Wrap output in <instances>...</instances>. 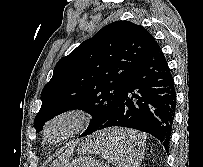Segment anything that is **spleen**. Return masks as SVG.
<instances>
[{
    "label": "spleen",
    "instance_id": "spleen-1",
    "mask_svg": "<svg viewBox=\"0 0 203 167\" xmlns=\"http://www.w3.org/2000/svg\"><path fill=\"white\" fill-rule=\"evenodd\" d=\"M145 139L144 136L137 143L140 157L137 156L135 148H128L125 144L121 148H104L99 146V140H93L90 149L114 163L116 167H138L144 155Z\"/></svg>",
    "mask_w": 203,
    "mask_h": 167
}]
</instances>
